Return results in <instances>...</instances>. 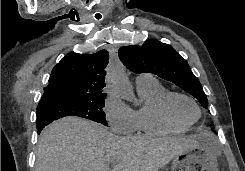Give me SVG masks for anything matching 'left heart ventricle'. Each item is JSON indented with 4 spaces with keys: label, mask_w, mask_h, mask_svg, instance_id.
I'll return each mask as SVG.
<instances>
[{
    "label": "left heart ventricle",
    "mask_w": 245,
    "mask_h": 171,
    "mask_svg": "<svg viewBox=\"0 0 245 171\" xmlns=\"http://www.w3.org/2000/svg\"><path fill=\"white\" fill-rule=\"evenodd\" d=\"M173 110L176 116L185 122H192L198 116L196 107L190 101L183 98L175 99Z\"/></svg>",
    "instance_id": "1"
}]
</instances>
